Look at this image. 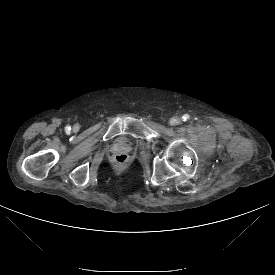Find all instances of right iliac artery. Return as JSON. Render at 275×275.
I'll return each mask as SVG.
<instances>
[{
	"instance_id": "obj_1",
	"label": "right iliac artery",
	"mask_w": 275,
	"mask_h": 275,
	"mask_svg": "<svg viewBox=\"0 0 275 275\" xmlns=\"http://www.w3.org/2000/svg\"><path fill=\"white\" fill-rule=\"evenodd\" d=\"M71 128L69 126L66 127V130L69 131Z\"/></svg>"
}]
</instances>
